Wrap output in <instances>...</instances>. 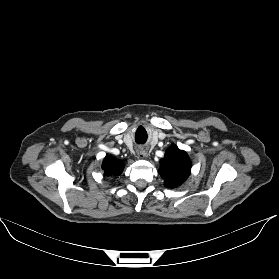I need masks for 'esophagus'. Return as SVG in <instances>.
<instances>
[{
  "mask_svg": "<svg viewBox=\"0 0 279 279\" xmlns=\"http://www.w3.org/2000/svg\"><path fill=\"white\" fill-rule=\"evenodd\" d=\"M139 158L145 159L148 156V151L144 149H140L137 152Z\"/></svg>",
  "mask_w": 279,
  "mask_h": 279,
  "instance_id": "34e87169",
  "label": "esophagus"
}]
</instances>
